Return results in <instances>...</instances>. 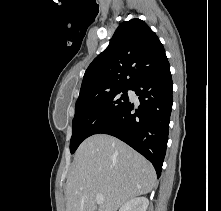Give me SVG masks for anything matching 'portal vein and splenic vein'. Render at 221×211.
<instances>
[{"mask_svg":"<svg viewBox=\"0 0 221 211\" xmlns=\"http://www.w3.org/2000/svg\"><path fill=\"white\" fill-rule=\"evenodd\" d=\"M96 202L97 204H102L104 202V197L101 194L96 195Z\"/></svg>","mask_w":221,"mask_h":211,"instance_id":"18ae733b","label":"portal vein and splenic vein"}]
</instances>
